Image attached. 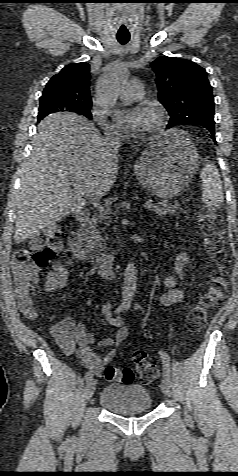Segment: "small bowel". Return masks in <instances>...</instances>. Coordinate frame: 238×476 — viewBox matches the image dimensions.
Masks as SVG:
<instances>
[{
  "label": "small bowel",
  "instance_id": "small-bowel-1",
  "mask_svg": "<svg viewBox=\"0 0 238 476\" xmlns=\"http://www.w3.org/2000/svg\"><path fill=\"white\" fill-rule=\"evenodd\" d=\"M74 267L73 263H55L46 273L43 289L45 292L57 290L66 291L69 288V270ZM168 291L162 296L161 301L165 305H173L183 298V292L177 287V281L173 277L165 280ZM96 290L93 288L87 303L90 304L94 298ZM111 304L104 306V312L108 313ZM112 326L118 330L113 337H108L98 343L101 348H109L104 355H99L91 348L94 343V336L86 331L82 321H77L73 317L64 316L52 327V334L62 350L68 354H75L78 360L92 373L99 376L104 368L115 356V347L122 343L129 335V330L123 325V319L118 318L111 322Z\"/></svg>",
  "mask_w": 238,
  "mask_h": 476
}]
</instances>
